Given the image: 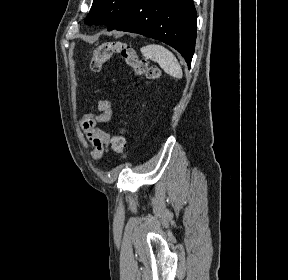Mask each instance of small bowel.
Wrapping results in <instances>:
<instances>
[{
	"instance_id": "c3829d8e",
	"label": "small bowel",
	"mask_w": 288,
	"mask_h": 280,
	"mask_svg": "<svg viewBox=\"0 0 288 280\" xmlns=\"http://www.w3.org/2000/svg\"><path fill=\"white\" fill-rule=\"evenodd\" d=\"M99 114L88 113L81 122V128L91 144L93 151L92 156L100 159L106 152L110 143V135L98 127L109 123L114 116L113 104L109 100L102 99L98 102Z\"/></svg>"
}]
</instances>
